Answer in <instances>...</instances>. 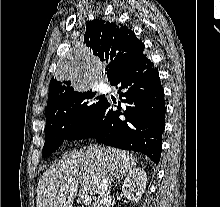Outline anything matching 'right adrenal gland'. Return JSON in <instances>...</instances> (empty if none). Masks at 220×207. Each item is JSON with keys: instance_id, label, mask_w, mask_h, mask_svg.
Instances as JSON below:
<instances>
[{"instance_id": "obj_1", "label": "right adrenal gland", "mask_w": 220, "mask_h": 207, "mask_svg": "<svg viewBox=\"0 0 220 207\" xmlns=\"http://www.w3.org/2000/svg\"><path fill=\"white\" fill-rule=\"evenodd\" d=\"M121 178H122V177H118V178H117V181H116L115 187H116L117 183L120 182Z\"/></svg>"}]
</instances>
